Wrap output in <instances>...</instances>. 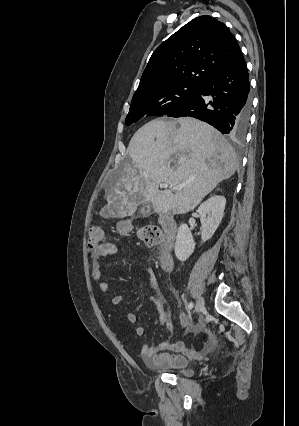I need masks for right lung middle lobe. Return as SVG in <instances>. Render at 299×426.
<instances>
[{"instance_id": "right-lung-middle-lobe-1", "label": "right lung middle lobe", "mask_w": 299, "mask_h": 426, "mask_svg": "<svg viewBox=\"0 0 299 426\" xmlns=\"http://www.w3.org/2000/svg\"><path fill=\"white\" fill-rule=\"evenodd\" d=\"M199 86L176 84L132 100L125 124L130 125L144 116H162L173 113L195 95Z\"/></svg>"}]
</instances>
